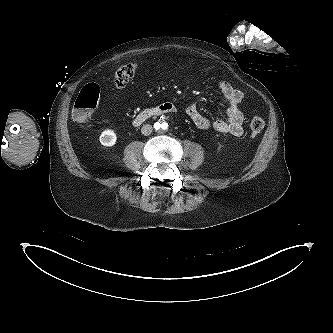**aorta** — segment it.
<instances>
[{
  "label": "aorta",
  "instance_id": "1",
  "mask_svg": "<svg viewBox=\"0 0 333 333\" xmlns=\"http://www.w3.org/2000/svg\"><path fill=\"white\" fill-rule=\"evenodd\" d=\"M154 127L158 133H164L168 129V124L165 121H160L156 122Z\"/></svg>",
  "mask_w": 333,
  "mask_h": 333
}]
</instances>
